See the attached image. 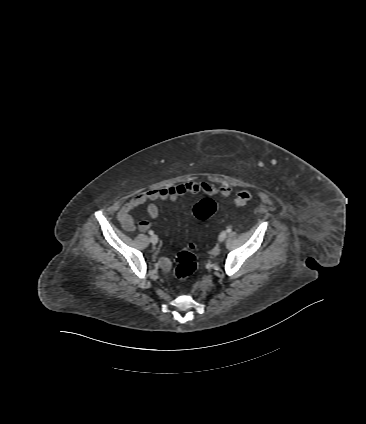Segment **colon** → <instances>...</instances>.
<instances>
[{"label":"colon","instance_id":"5ec220e1","mask_svg":"<svg viewBox=\"0 0 366 424\" xmlns=\"http://www.w3.org/2000/svg\"><path fill=\"white\" fill-rule=\"evenodd\" d=\"M251 199V192L247 189L241 190L235 199V206L241 207ZM216 211V203L205 198L194 205L192 212L197 219L205 220L211 217ZM194 244L187 243L176 257L175 276L179 280H185L197 269L196 257L194 254Z\"/></svg>","mask_w":366,"mask_h":424}]
</instances>
